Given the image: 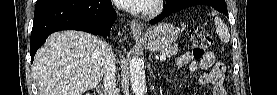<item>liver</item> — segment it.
Instances as JSON below:
<instances>
[{
	"instance_id": "6515ba94",
	"label": "liver",
	"mask_w": 277,
	"mask_h": 95,
	"mask_svg": "<svg viewBox=\"0 0 277 95\" xmlns=\"http://www.w3.org/2000/svg\"><path fill=\"white\" fill-rule=\"evenodd\" d=\"M110 51L109 44L86 32L51 34L33 62L40 95H83L95 88L102 80Z\"/></svg>"
}]
</instances>
